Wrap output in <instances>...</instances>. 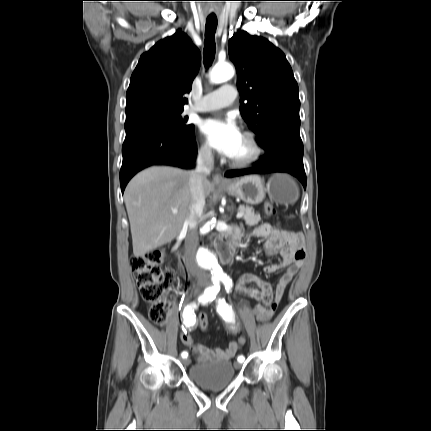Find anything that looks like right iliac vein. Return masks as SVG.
I'll return each instance as SVG.
<instances>
[{
	"mask_svg": "<svg viewBox=\"0 0 431 431\" xmlns=\"http://www.w3.org/2000/svg\"><path fill=\"white\" fill-rule=\"evenodd\" d=\"M183 364H184L185 366H186V365H188V364H189V359H187V358H186V359H184V360H183Z\"/></svg>",
	"mask_w": 431,
	"mask_h": 431,
	"instance_id": "1",
	"label": "right iliac vein"
}]
</instances>
